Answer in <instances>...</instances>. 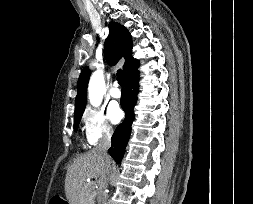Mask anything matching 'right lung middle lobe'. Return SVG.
Instances as JSON below:
<instances>
[{
	"label": "right lung middle lobe",
	"mask_w": 253,
	"mask_h": 204,
	"mask_svg": "<svg viewBox=\"0 0 253 204\" xmlns=\"http://www.w3.org/2000/svg\"><path fill=\"white\" fill-rule=\"evenodd\" d=\"M82 114H83V112L74 117V130L75 131H77V129H78L79 122L81 120Z\"/></svg>",
	"instance_id": "1"
}]
</instances>
